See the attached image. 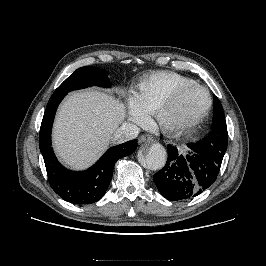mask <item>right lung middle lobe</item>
Returning a JSON list of instances; mask_svg holds the SVG:
<instances>
[{
	"label": "right lung middle lobe",
	"mask_w": 266,
	"mask_h": 266,
	"mask_svg": "<svg viewBox=\"0 0 266 266\" xmlns=\"http://www.w3.org/2000/svg\"><path fill=\"white\" fill-rule=\"evenodd\" d=\"M108 73L96 67H81L71 74L55 92H70L88 86L110 87Z\"/></svg>",
	"instance_id": "dd1d6c3e"
}]
</instances>
